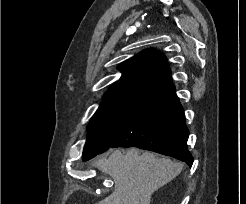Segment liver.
Segmentation results:
<instances>
[{
	"mask_svg": "<svg viewBox=\"0 0 246 204\" xmlns=\"http://www.w3.org/2000/svg\"><path fill=\"white\" fill-rule=\"evenodd\" d=\"M94 166L111 176L115 187L111 195L96 204H150L152 194L177 177L182 164L151 152L129 149L125 154L115 150Z\"/></svg>",
	"mask_w": 246,
	"mask_h": 204,
	"instance_id": "6515ba94",
	"label": "liver"
}]
</instances>
